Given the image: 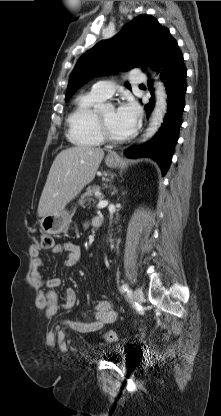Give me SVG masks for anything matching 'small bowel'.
I'll use <instances>...</instances> for the list:
<instances>
[{
  "mask_svg": "<svg viewBox=\"0 0 221 416\" xmlns=\"http://www.w3.org/2000/svg\"><path fill=\"white\" fill-rule=\"evenodd\" d=\"M97 219H94L92 224L96 226ZM52 252L57 254L65 252L63 264L67 267L76 265L81 257L80 246L74 242H66L58 244L53 247ZM32 254V265L30 272V281L34 287L43 290L37 297V304L45 309L48 317H53L57 314L60 308L68 310L71 309L76 302V292L73 288L65 290V297L62 304H59L58 296L53 291L61 285V280L56 277L44 278L39 268L43 262L39 256V250L34 248ZM117 318V312L113 309L112 304L108 300H100L95 305L94 319L89 322L63 319L61 324L70 328L80 334H88L100 330L105 325L113 323Z\"/></svg>",
  "mask_w": 221,
  "mask_h": 416,
  "instance_id": "small-bowel-1",
  "label": "small bowel"
}]
</instances>
